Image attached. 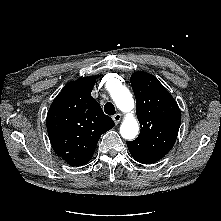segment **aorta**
<instances>
[{"instance_id":"762f6f07","label":"aorta","mask_w":221,"mask_h":221,"mask_svg":"<svg viewBox=\"0 0 221 221\" xmlns=\"http://www.w3.org/2000/svg\"><path fill=\"white\" fill-rule=\"evenodd\" d=\"M111 98L115 102L117 108L124 113H127L120 126V134L127 140H133L139 132V124L137 119L131 114L134 109V99L127 87L115 80L111 86Z\"/></svg>"}]
</instances>
